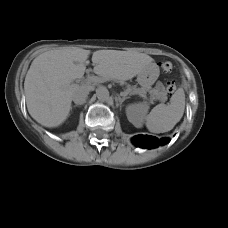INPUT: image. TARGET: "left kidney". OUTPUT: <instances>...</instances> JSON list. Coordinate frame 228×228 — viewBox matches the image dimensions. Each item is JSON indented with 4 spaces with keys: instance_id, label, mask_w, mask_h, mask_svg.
<instances>
[{
    "instance_id": "5707ae66",
    "label": "left kidney",
    "mask_w": 228,
    "mask_h": 228,
    "mask_svg": "<svg viewBox=\"0 0 228 228\" xmlns=\"http://www.w3.org/2000/svg\"><path fill=\"white\" fill-rule=\"evenodd\" d=\"M148 105L146 103L130 104L126 108V115L136 128H141L144 118L148 111Z\"/></svg>"
}]
</instances>
